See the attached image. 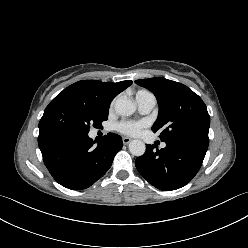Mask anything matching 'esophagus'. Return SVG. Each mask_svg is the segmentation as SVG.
I'll return each instance as SVG.
<instances>
[{"mask_svg":"<svg viewBox=\"0 0 248 248\" xmlns=\"http://www.w3.org/2000/svg\"><path fill=\"white\" fill-rule=\"evenodd\" d=\"M122 141H123V143H124L125 145H127V144H129V143L132 141V139L129 138V137H123V138H122Z\"/></svg>","mask_w":248,"mask_h":248,"instance_id":"1","label":"esophagus"}]
</instances>
